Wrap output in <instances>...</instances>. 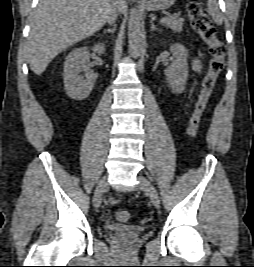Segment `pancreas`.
Masks as SVG:
<instances>
[{"mask_svg":"<svg viewBox=\"0 0 254 267\" xmlns=\"http://www.w3.org/2000/svg\"><path fill=\"white\" fill-rule=\"evenodd\" d=\"M184 19L180 17H171L168 21L164 22V25L167 28L172 29L175 33H179L182 31Z\"/></svg>","mask_w":254,"mask_h":267,"instance_id":"cf45deb5","label":"pancreas"}]
</instances>
